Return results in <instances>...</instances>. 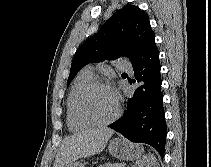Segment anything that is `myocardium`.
<instances>
[{
    "instance_id": "obj_1",
    "label": "myocardium",
    "mask_w": 211,
    "mask_h": 167,
    "mask_svg": "<svg viewBox=\"0 0 211 167\" xmlns=\"http://www.w3.org/2000/svg\"><path fill=\"white\" fill-rule=\"evenodd\" d=\"M95 88H105L108 89L114 96L115 99V112L114 114L108 118L107 120H96L94 118H92L89 114H87V112L84 109V100L86 98V96ZM76 112L77 115L79 116V118L81 120H83L84 122L92 125V126H106L109 125L111 123H113L119 116L120 114V105H119V100L117 98V96L114 94V92L112 91V89L110 88V86L101 80H97L94 79L91 82H89L79 93L77 100H76Z\"/></svg>"
}]
</instances>
